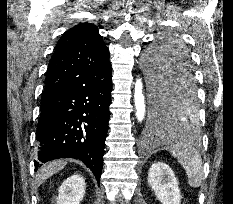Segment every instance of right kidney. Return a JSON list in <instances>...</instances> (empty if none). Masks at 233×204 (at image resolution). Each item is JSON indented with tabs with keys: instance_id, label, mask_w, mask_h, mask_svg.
<instances>
[{
	"instance_id": "obj_1",
	"label": "right kidney",
	"mask_w": 233,
	"mask_h": 204,
	"mask_svg": "<svg viewBox=\"0 0 233 204\" xmlns=\"http://www.w3.org/2000/svg\"><path fill=\"white\" fill-rule=\"evenodd\" d=\"M86 183L83 177L74 174L63 181L59 188L57 204H80L85 195Z\"/></svg>"
}]
</instances>
